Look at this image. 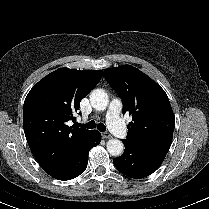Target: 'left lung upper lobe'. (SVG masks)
I'll return each mask as SVG.
<instances>
[{
    "label": "left lung upper lobe",
    "mask_w": 209,
    "mask_h": 209,
    "mask_svg": "<svg viewBox=\"0 0 209 209\" xmlns=\"http://www.w3.org/2000/svg\"><path fill=\"white\" fill-rule=\"evenodd\" d=\"M104 77L123 101V113L132 116L126 141L145 149L167 153L175 116L159 84L135 67L108 68Z\"/></svg>",
    "instance_id": "obj_1"
}]
</instances>
